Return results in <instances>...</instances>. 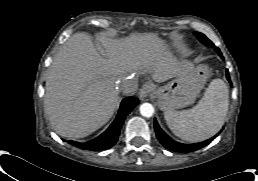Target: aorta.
I'll return each mask as SVG.
<instances>
[{
    "label": "aorta",
    "instance_id": "1",
    "mask_svg": "<svg viewBox=\"0 0 258 181\" xmlns=\"http://www.w3.org/2000/svg\"><path fill=\"white\" fill-rule=\"evenodd\" d=\"M139 109L141 115L144 117H151L154 113V107L150 103H143Z\"/></svg>",
    "mask_w": 258,
    "mask_h": 181
}]
</instances>
